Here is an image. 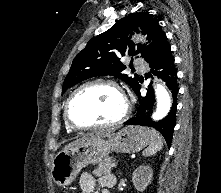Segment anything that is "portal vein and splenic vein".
<instances>
[{
	"instance_id": "1",
	"label": "portal vein and splenic vein",
	"mask_w": 221,
	"mask_h": 193,
	"mask_svg": "<svg viewBox=\"0 0 221 193\" xmlns=\"http://www.w3.org/2000/svg\"><path fill=\"white\" fill-rule=\"evenodd\" d=\"M112 166H113V167H116V166H117V162L113 163Z\"/></svg>"
}]
</instances>
